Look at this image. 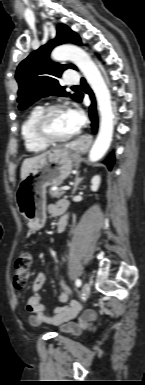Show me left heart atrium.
<instances>
[{"label":"left heart atrium","mask_w":145,"mask_h":385,"mask_svg":"<svg viewBox=\"0 0 145 385\" xmlns=\"http://www.w3.org/2000/svg\"><path fill=\"white\" fill-rule=\"evenodd\" d=\"M67 113L74 127L77 130L80 129L85 120L82 110L79 109L78 107H72L69 110H67Z\"/></svg>","instance_id":"1"}]
</instances>
